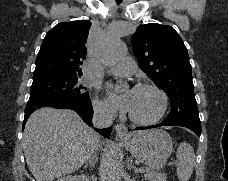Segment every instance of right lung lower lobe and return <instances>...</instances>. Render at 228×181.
I'll list each match as a JSON object with an SVG mask.
<instances>
[{"mask_svg":"<svg viewBox=\"0 0 228 181\" xmlns=\"http://www.w3.org/2000/svg\"><path fill=\"white\" fill-rule=\"evenodd\" d=\"M41 107H53V108H60V109H72L76 111L79 116L83 119L85 123L89 126L92 125V117H93V108L91 104L80 105L75 104L69 101H63L58 99H44V100H34L28 101L26 108H25V116L23 123L25 124L28 117L31 113ZM101 135L106 138H110L112 127H108L105 129H95Z\"/></svg>","mask_w":228,"mask_h":181,"instance_id":"98d812e1","label":"right lung lower lobe"}]
</instances>
